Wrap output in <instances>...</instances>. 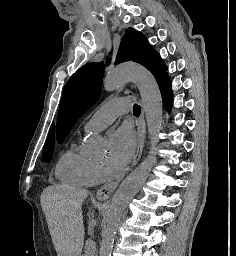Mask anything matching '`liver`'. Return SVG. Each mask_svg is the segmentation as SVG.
<instances>
[{"label": "liver", "mask_w": 236, "mask_h": 256, "mask_svg": "<svg viewBox=\"0 0 236 256\" xmlns=\"http://www.w3.org/2000/svg\"><path fill=\"white\" fill-rule=\"evenodd\" d=\"M87 190L54 184L41 194V206L58 256H81L84 244L82 204Z\"/></svg>", "instance_id": "1"}]
</instances>
